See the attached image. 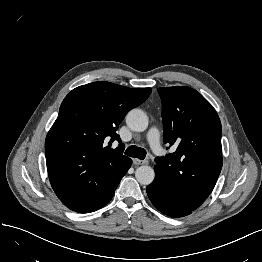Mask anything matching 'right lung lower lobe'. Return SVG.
<instances>
[{
	"instance_id": "98d812e1",
	"label": "right lung lower lobe",
	"mask_w": 262,
	"mask_h": 262,
	"mask_svg": "<svg viewBox=\"0 0 262 262\" xmlns=\"http://www.w3.org/2000/svg\"><path fill=\"white\" fill-rule=\"evenodd\" d=\"M131 163H132V161L130 160V162L125 167L123 176L126 174L128 169L130 168ZM114 192H115V190L112 191L107 197H105L101 200H98V201H89V202L62 201V202L65 206H67L69 209H71L73 211H76V212H79V213H89V212H93V211L98 210V209L102 208L103 206H105L113 197Z\"/></svg>"
}]
</instances>
